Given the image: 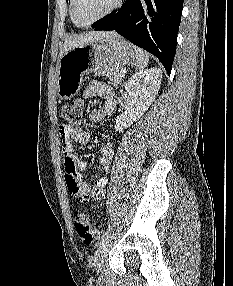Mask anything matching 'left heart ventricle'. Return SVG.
<instances>
[{"label":"left heart ventricle","instance_id":"left-heart-ventricle-1","mask_svg":"<svg viewBox=\"0 0 233 286\" xmlns=\"http://www.w3.org/2000/svg\"><path fill=\"white\" fill-rule=\"evenodd\" d=\"M115 0H77L76 15L79 21L89 22L106 12Z\"/></svg>","mask_w":233,"mask_h":286}]
</instances>
